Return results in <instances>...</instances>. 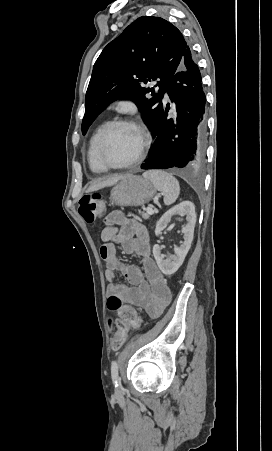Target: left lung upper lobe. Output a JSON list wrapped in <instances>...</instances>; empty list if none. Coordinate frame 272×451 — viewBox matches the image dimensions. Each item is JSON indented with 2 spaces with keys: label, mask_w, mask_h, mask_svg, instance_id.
Instances as JSON below:
<instances>
[{
  "label": "left lung upper lobe",
  "mask_w": 272,
  "mask_h": 451,
  "mask_svg": "<svg viewBox=\"0 0 272 451\" xmlns=\"http://www.w3.org/2000/svg\"><path fill=\"white\" fill-rule=\"evenodd\" d=\"M181 32L160 17L143 16L110 42L96 60L87 89L82 120L85 134L95 118L116 99L136 103L147 125L153 126L163 110L161 100L187 49ZM159 79L154 88H145ZM152 92L153 98L146 94Z\"/></svg>",
  "instance_id": "1"
}]
</instances>
